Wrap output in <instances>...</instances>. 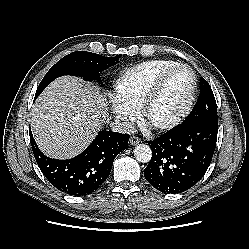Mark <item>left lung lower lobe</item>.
Wrapping results in <instances>:
<instances>
[{"mask_svg": "<svg viewBox=\"0 0 249 249\" xmlns=\"http://www.w3.org/2000/svg\"><path fill=\"white\" fill-rule=\"evenodd\" d=\"M218 126L182 123L148 141L152 159L146 180L164 193H181L195 185L208 169L216 146Z\"/></svg>", "mask_w": 249, "mask_h": 249, "instance_id": "obj_1", "label": "left lung lower lobe"}]
</instances>
